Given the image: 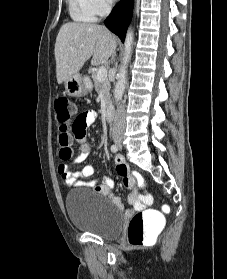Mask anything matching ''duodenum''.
Masks as SVG:
<instances>
[{"instance_id":"obj_1","label":"duodenum","mask_w":227,"mask_h":279,"mask_svg":"<svg viewBox=\"0 0 227 279\" xmlns=\"http://www.w3.org/2000/svg\"><path fill=\"white\" fill-rule=\"evenodd\" d=\"M104 115H105L106 120L112 121V119H113V109H112V107L107 106L104 110Z\"/></svg>"}]
</instances>
